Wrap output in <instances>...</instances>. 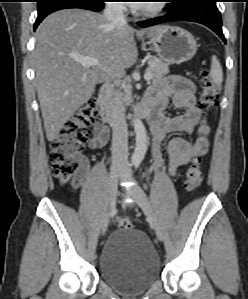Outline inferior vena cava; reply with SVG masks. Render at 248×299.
Returning a JSON list of instances; mask_svg holds the SVG:
<instances>
[{
  "mask_svg": "<svg viewBox=\"0 0 248 299\" xmlns=\"http://www.w3.org/2000/svg\"><path fill=\"white\" fill-rule=\"evenodd\" d=\"M126 8L118 2H110L106 5L104 16L113 24L126 25L124 16ZM112 113V166L125 167L128 164V130L125 119V107L118 92L111 105Z\"/></svg>",
  "mask_w": 248,
  "mask_h": 299,
  "instance_id": "obj_1",
  "label": "inferior vena cava"
}]
</instances>
